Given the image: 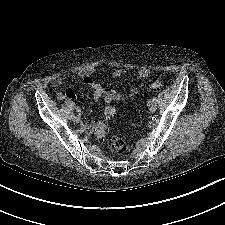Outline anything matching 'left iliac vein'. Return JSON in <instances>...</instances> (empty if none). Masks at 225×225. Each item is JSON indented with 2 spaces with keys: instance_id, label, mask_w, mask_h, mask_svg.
<instances>
[{
  "instance_id": "1",
  "label": "left iliac vein",
  "mask_w": 225,
  "mask_h": 225,
  "mask_svg": "<svg viewBox=\"0 0 225 225\" xmlns=\"http://www.w3.org/2000/svg\"><path fill=\"white\" fill-rule=\"evenodd\" d=\"M157 109V105L156 103H151L150 106H149V110L151 113H154Z\"/></svg>"
}]
</instances>
